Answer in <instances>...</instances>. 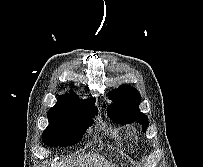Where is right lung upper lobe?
<instances>
[{"label": "right lung upper lobe", "mask_w": 203, "mask_h": 167, "mask_svg": "<svg viewBox=\"0 0 203 167\" xmlns=\"http://www.w3.org/2000/svg\"><path fill=\"white\" fill-rule=\"evenodd\" d=\"M95 99L91 98L88 101H83L77 97L74 93L65 94L58 98L57 104L52 107L49 111H56L68 108L70 106L80 104V103H94Z\"/></svg>", "instance_id": "right-lung-upper-lobe-1"}]
</instances>
